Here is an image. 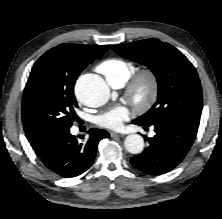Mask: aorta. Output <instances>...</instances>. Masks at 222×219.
Returning a JSON list of instances; mask_svg holds the SVG:
<instances>
[{
	"label": "aorta",
	"mask_w": 222,
	"mask_h": 219,
	"mask_svg": "<svg viewBox=\"0 0 222 219\" xmlns=\"http://www.w3.org/2000/svg\"><path fill=\"white\" fill-rule=\"evenodd\" d=\"M77 98L84 105L99 107L110 97V90L105 81L98 75L85 74L78 78L75 85ZM125 148L132 154H139L144 149V139L139 134H130L125 138Z\"/></svg>",
	"instance_id": "aorta-1"
}]
</instances>
